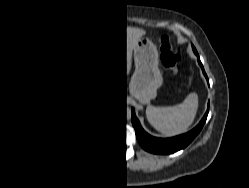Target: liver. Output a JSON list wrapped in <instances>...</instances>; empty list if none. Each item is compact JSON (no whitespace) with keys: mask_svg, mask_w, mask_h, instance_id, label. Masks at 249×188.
Masks as SVG:
<instances>
[{"mask_svg":"<svg viewBox=\"0 0 249 188\" xmlns=\"http://www.w3.org/2000/svg\"><path fill=\"white\" fill-rule=\"evenodd\" d=\"M145 34L144 29L129 27L127 28V67H130V59L135 42Z\"/></svg>","mask_w":249,"mask_h":188,"instance_id":"1","label":"liver"}]
</instances>
